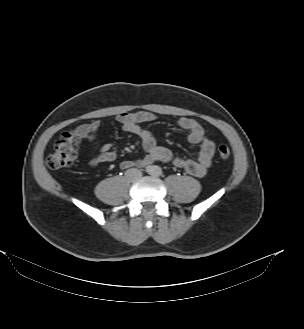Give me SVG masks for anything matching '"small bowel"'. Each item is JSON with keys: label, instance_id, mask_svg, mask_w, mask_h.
I'll return each mask as SVG.
<instances>
[{"label": "small bowel", "instance_id": "small-bowel-1", "mask_svg": "<svg viewBox=\"0 0 304 329\" xmlns=\"http://www.w3.org/2000/svg\"><path fill=\"white\" fill-rule=\"evenodd\" d=\"M156 119V116L147 111L125 112L116 117L117 123L127 132L138 136L141 140L146 156L138 161L124 160L120 163L122 169L133 166H144L154 162L172 163L185 170L190 175L202 177L211 165L215 151L213 141L206 135L202 125L193 118H178L174 125L187 133L191 144L198 145L200 150L197 159L183 158L173 154L168 148L157 143L153 134L143 127V124ZM100 121L82 124L74 129L82 145L85 142H94L100 129ZM117 158V148L113 144L99 147V153L88 159V164L96 168L99 164L112 162Z\"/></svg>", "mask_w": 304, "mask_h": 329}]
</instances>
